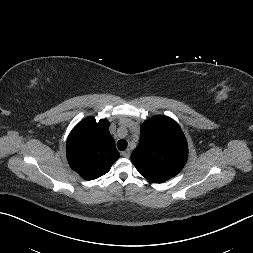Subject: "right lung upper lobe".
<instances>
[{"mask_svg": "<svg viewBox=\"0 0 253 253\" xmlns=\"http://www.w3.org/2000/svg\"><path fill=\"white\" fill-rule=\"evenodd\" d=\"M109 125L107 120L96 122L88 117L79 122L68 137L67 160L70 167L86 180L106 174L119 158Z\"/></svg>", "mask_w": 253, "mask_h": 253, "instance_id": "1", "label": "right lung upper lobe"}]
</instances>
